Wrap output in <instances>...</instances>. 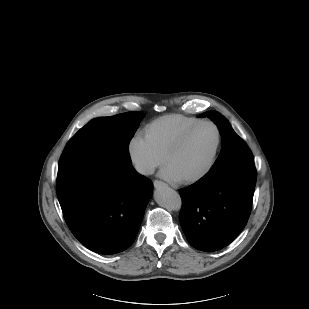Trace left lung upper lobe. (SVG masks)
<instances>
[{"label":"left lung upper lobe","mask_w":309,"mask_h":309,"mask_svg":"<svg viewBox=\"0 0 309 309\" xmlns=\"http://www.w3.org/2000/svg\"><path fill=\"white\" fill-rule=\"evenodd\" d=\"M199 117H208L212 119L217 125L222 138L221 153L207 174H213L231 162L252 157L245 142L235 133L228 120L219 112L208 111L199 115Z\"/></svg>","instance_id":"left-lung-upper-lobe-1"}]
</instances>
